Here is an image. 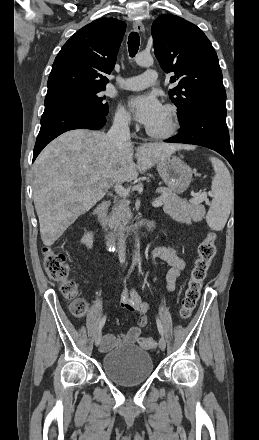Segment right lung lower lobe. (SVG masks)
<instances>
[{
  "label": "right lung lower lobe",
  "instance_id": "1",
  "mask_svg": "<svg viewBox=\"0 0 259 440\" xmlns=\"http://www.w3.org/2000/svg\"><path fill=\"white\" fill-rule=\"evenodd\" d=\"M105 116L79 107L44 110L41 117V128L33 151V162L42 149L60 134L80 128L101 129L106 124Z\"/></svg>",
  "mask_w": 259,
  "mask_h": 440
}]
</instances>
